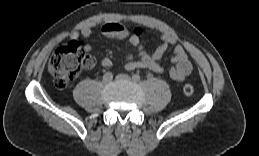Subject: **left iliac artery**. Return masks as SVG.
I'll return each instance as SVG.
<instances>
[{"instance_id": "1", "label": "left iliac artery", "mask_w": 259, "mask_h": 156, "mask_svg": "<svg viewBox=\"0 0 259 156\" xmlns=\"http://www.w3.org/2000/svg\"><path fill=\"white\" fill-rule=\"evenodd\" d=\"M132 79L135 82H139L141 78H140V76L138 74H135V75L132 76Z\"/></svg>"}]
</instances>
